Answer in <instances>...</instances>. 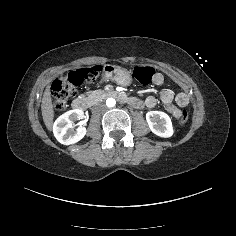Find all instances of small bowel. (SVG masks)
<instances>
[{
    "mask_svg": "<svg viewBox=\"0 0 236 236\" xmlns=\"http://www.w3.org/2000/svg\"><path fill=\"white\" fill-rule=\"evenodd\" d=\"M163 82V76L160 73H156L153 79V83L160 85ZM173 95L170 91H165L163 94V101L167 106L168 110L172 113L175 118H179L181 115V110L179 107L172 105ZM178 106L183 107L188 104V98L185 94H180L177 97ZM156 104V99L153 96H149L146 99V105L150 108L154 107Z\"/></svg>",
    "mask_w": 236,
    "mask_h": 236,
    "instance_id": "obj_1",
    "label": "small bowel"
}]
</instances>
